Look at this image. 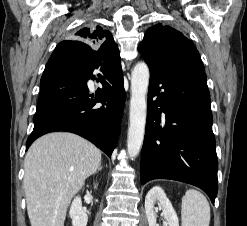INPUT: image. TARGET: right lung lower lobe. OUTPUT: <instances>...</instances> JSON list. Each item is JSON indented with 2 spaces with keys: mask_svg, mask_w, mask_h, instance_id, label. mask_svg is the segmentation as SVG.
<instances>
[{
  "mask_svg": "<svg viewBox=\"0 0 247 226\" xmlns=\"http://www.w3.org/2000/svg\"><path fill=\"white\" fill-rule=\"evenodd\" d=\"M113 51L94 50L77 40L56 46L41 77L34 129L26 150L46 133L67 131L88 139L111 157L125 103L121 62ZM96 70L102 74L103 88L92 99L87 81L95 79ZM98 102L101 107H95Z\"/></svg>",
  "mask_w": 247,
  "mask_h": 226,
  "instance_id": "1",
  "label": "right lung lower lobe"
}]
</instances>
